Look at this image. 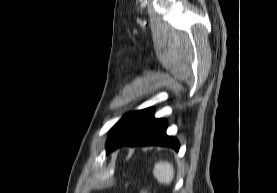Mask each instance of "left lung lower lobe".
<instances>
[{"mask_svg":"<svg viewBox=\"0 0 277 193\" xmlns=\"http://www.w3.org/2000/svg\"><path fill=\"white\" fill-rule=\"evenodd\" d=\"M153 114V108L125 114L108 133L106 153L122 145H160L178 151V140L166 135L167 121L155 119Z\"/></svg>","mask_w":277,"mask_h":193,"instance_id":"left-lung-lower-lobe-1","label":"left lung lower lobe"}]
</instances>
